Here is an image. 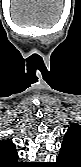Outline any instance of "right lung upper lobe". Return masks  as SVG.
Listing matches in <instances>:
<instances>
[{
	"mask_svg": "<svg viewBox=\"0 0 81 167\" xmlns=\"http://www.w3.org/2000/svg\"><path fill=\"white\" fill-rule=\"evenodd\" d=\"M15 144L10 140L0 142V165L2 167H12L20 164Z\"/></svg>",
	"mask_w": 81,
	"mask_h": 167,
	"instance_id": "right-lung-upper-lobe-1",
	"label": "right lung upper lobe"
}]
</instances>
